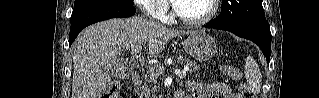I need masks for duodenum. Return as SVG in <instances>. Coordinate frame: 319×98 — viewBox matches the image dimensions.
<instances>
[{"mask_svg":"<svg viewBox=\"0 0 319 98\" xmlns=\"http://www.w3.org/2000/svg\"><path fill=\"white\" fill-rule=\"evenodd\" d=\"M132 81L133 83H138L140 81V73L138 71H136L133 76H132ZM175 98H186V96L183 94L182 91H178L175 96Z\"/></svg>","mask_w":319,"mask_h":98,"instance_id":"duodenum-1","label":"duodenum"}]
</instances>
